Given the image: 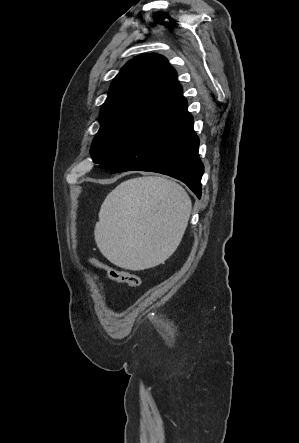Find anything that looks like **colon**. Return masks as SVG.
<instances>
[{
  "label": "colon",
  "instance_id": "1",
  "mask_svg": "<svg viewBox=\"0 0 299 443\" xmlns=\"http://www.w3.org/2000/svg\"><path fill=\"white\" fill-rule=\"evenodd\" d=\"M88 262L96 269L103 272L110 280L127 284L134 289L139 288L141 285V278L136 273L115 269L92 258L88 259Z\"/></svg>",
  "mask_w": 299,
  "mask_h": 443
}]
</instances>
